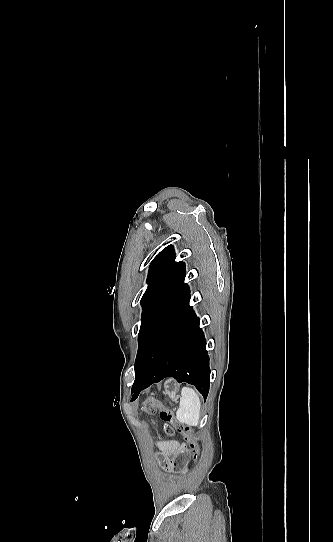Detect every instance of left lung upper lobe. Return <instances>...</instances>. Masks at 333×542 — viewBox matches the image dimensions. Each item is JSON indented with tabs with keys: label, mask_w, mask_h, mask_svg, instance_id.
<instances>
[{
	"label": "left lung upper lobe",
	"mask_w": 333,
	"mask_h": 542,
	"mask_svg": "<svg viewBox=\"0 0 333 542\" xmlns=\"http://www.w3.org/2000/svg\"><path fill=\"white\" fill-rule=\"evenodd\" d=\"M174 259L173 247L167 246L150 265L148 287L141 299L143 312L138 334L135 374L139 371L146 351L157 332L189 296V287L184 283L185 264L174 262Z\"/></svg>",
	"instance_id": "obj_1"
}]
</instances>
